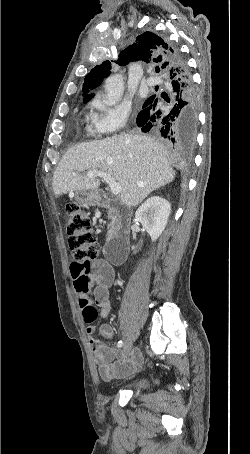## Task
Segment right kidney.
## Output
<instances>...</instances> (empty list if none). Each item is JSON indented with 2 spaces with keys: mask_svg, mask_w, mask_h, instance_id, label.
I'll return each mask as SVG.
<instances>
[{
  "mask_svg": "<svg viewBox=\"0 0 250 454\" xmlns=\"http://www.w3.org/2000/svg\"><path fill=\"white\" fill-rule=\"evenodd\" d=\"M170 212L171 205L165 198L152 196L137 209L135 218L154 242L164 231Z\"/></svg>",
  "mask_w": 250,
  "mask_h": 454,
  "instance_id": "1",
  "label": "right kidney"
}]
</instances>
